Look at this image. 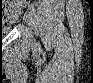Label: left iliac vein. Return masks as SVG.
<instances>
[{
    "label": "left iliac vein",
    "instance_id": "4c4485c4",
    "mask_svg": "<svg viewBox=\"0 0 93 83\" xmlns=\"http://www.w3.org/2000/svg\"><path fill=\"white\" fill-rule=\"evenodd\" d=\"M24 21L28 26H31V24H32V16H31L30 12H25Z\"/></svg>",
    "mask_w": 93,
    "mask_h": 83
}]
</instances>
